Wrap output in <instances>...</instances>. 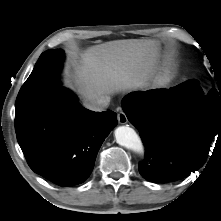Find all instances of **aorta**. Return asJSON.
<instances>
[{"mask_svg": "<svg viewBox=\"0 0 221 221\" xmlns=\"http://www.w3.org/2000/svg\"><path fill=\"white\" fill-rule=\"evenodd\" d=\"M114 135L119 145L140 154L144 152L143 143L133 128L119 126L116 128Z\"/></svg>", "mask_w": 221, "mask_h": 221, "instance_id": "1", "label": "aorta"}]
</instances>
